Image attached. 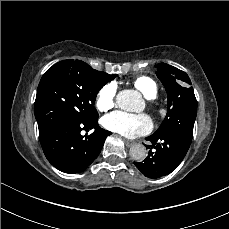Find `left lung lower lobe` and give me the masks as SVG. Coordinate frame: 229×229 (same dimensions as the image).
<instances>
[{"mask_svg":"<svg viewBox=\"0 0 229 229\" xmlns=\"http://www.w3.org/2000/svg\"><path fill=\"white\" fill-rule=\"evenodd\" d=\"M155 152L149 151L143 162H134L135 166L148 178L156 179L173 172L185 157L191 141L177 135L153 134L146 138ZM152 149V148H151Z\"/></svg>","mask_w":229,"mask_h":229,"instance_id":"1","label":"left lung lower lobe"}]
</instances>
